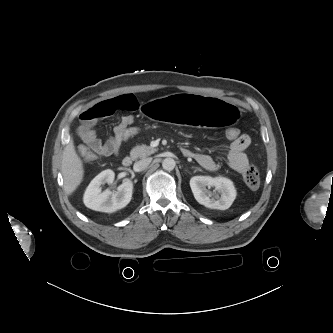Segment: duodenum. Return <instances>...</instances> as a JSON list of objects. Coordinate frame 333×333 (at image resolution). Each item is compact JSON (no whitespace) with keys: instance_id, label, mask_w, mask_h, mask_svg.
<instances>
[{"instance_id":"duodenum-1","label":"duodenum","mask_w":333,"mask_h":333,"mask_svg":"<svg viewBox=\"0 0 333 333\" xmlns=\"http://www.w3.org/2000/svg\"><path fill=\"white\" fill-rule=\"evenodd\" d=\"M182 152L186 156H190L191 155V152L188 151V150H186V149H183ZM132 163H133V157L132 156H126L122 160V164H123L124 167H129V166L132 165Z\"/></svg>"}]
</instances>
